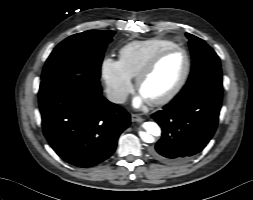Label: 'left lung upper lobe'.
<instances>
[{
  "instance_id": "obj_1",
  "label": "left lung upper lobe",
  "mask_w": 253,
  "mask_h": 200,
  "mask_svg": "<svg viewBox=\"0 0 253 200\" xmlns=\"http://www.w3.org/2000/svg\"><path fill=\"white\" fill-rule=\"evenodd\" d=\"M192 54V70L189 79L175 97L184 99L207 87L222 89V72L217 54L202 39L186 33Z\"/></svg>"
}]
</instances>
